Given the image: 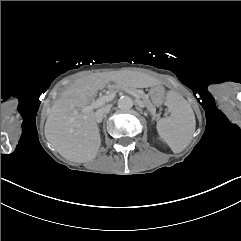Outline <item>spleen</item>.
Instances as JSON below:
<instances>
[{
	"label": "spleen",
	"instance_id": "obj_1",
	"mask_svg": "<svg viewBox=\"0 0 241 241\" xmlns=\"http://www.w3.org/2000/svg\"><path fill=\"white\" fill-rule=\"evenodd\" d=\"M167 101L171 115L157 122L160 137L174 153L183 151L190 143L195 131V116L185 97L170 89Z\"/></svg>",
	"mask_w": 241,
	"mask_h": 241
}]
</instances>
